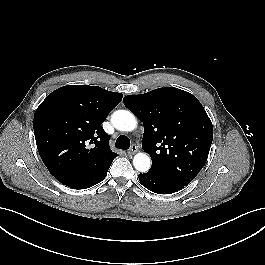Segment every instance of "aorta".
Returning <instances> with one entry per match:
<instances>
[{
	"label": "aorta",
	"instance_id": "aorta-1",
	"mask_svg": "<svg viewBox=\"0 0 265 265\" xmlns=\"http://www.w3.org/2000/svg\"><path fill=\"white\" fill-rule=\"evenodd\" d=\"M111 122L120 131H133L137 126V120L133 113L127 110H117L112 114ZM133 165L139 172L145 173L150 169L151 160L145 153H138L133 158Z\"/></svg>",
	"mask_w": 265,
	"mask_h": 265
}]
</instances>
